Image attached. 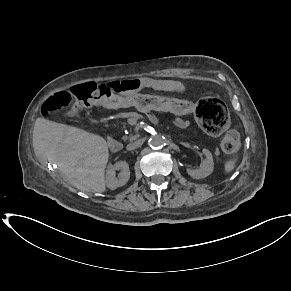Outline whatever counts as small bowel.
Returning <instances> with one entry per match:
<instances>
[{"label":"small bowel","mask_w":291,"mask_h":291,"mask_svg":"<svg viewBox=\"0 0 291 291\" xmlns=\"http://www.w3.org/2000/svg\"><path fill=\"white\" fill-rule=\"evenodd\" d=\"M129 86V94L133 97L137 95L138 91L142 88H150L159 91L177 92L181 93L185 90L184 85L179 81L166 80V79H153V78H142V79H128L124 80ZM109 107V106H108ZM119 108H122L121 106ZM149 113V112H147ZM171 113V112H167Z\"/></svg>","instance_id":"small-bowel-1"}]
</instances>
